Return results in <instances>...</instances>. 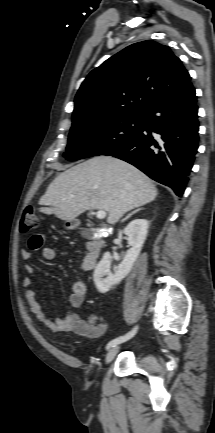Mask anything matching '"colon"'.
I'll return each mask as SVG.
<instances>
[{"instance_id": "obj_1", "label": "colon", "mask_w": 215, "mask_h": 433, "mask_svg": "<svg viewBox=\"0 0 215 433\" xmlns=\"http://www.w3.org/2000/svg\"><path fill=\"white\" fill-rule=\"evenodd\" d=\"M39 225V218L36 213L34 206H27L23 212L20 219V231L22 233L30 232L36 229Z\"/></svg>"}]
</instances>
